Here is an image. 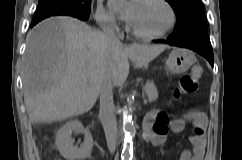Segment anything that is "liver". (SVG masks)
<instances>
[{
    "label": "liver",
    "instance_id": "obj_1",
    "mask_svg": "<svg viewBox=\"0 0 242 160\" xmlns=\"http://www.w3.org/2000/svg\"><path fill=\"white\" fill-rule=\"evenodd\" d=\"M168 45L114 44L101 32L77 19H46L27 35L23 57L24 102L32 123L53 122L88 112L94 106L101 80L112 64L114 86L135 68L154 60Z\"/></svg>",
    "mask_w": 242,
    "mask_h": 160
}]
</instances>
